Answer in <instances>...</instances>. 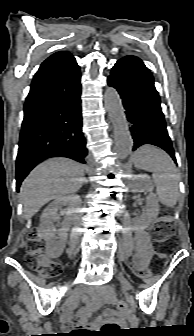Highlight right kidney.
<instances>
[{
  "mask_svg": "<svg viewBox=\"0 0 194 336\" xmlns=\"http://www.w3.org/2000/svg\"><path fill=\"white\" fill-rule=\"evenodd\" d=\"M80 204V196L68 195L55 199L44 209L37 231L38 235L45 240L46 250L52 257H59L62 254L67 240V231ZM58 211L64 215L62 227L59 230L53 224L60 218Z\"/></svg>",
  "mask_w": 194,
  "mask_h": 336,
  "instance_id": "right-kidney-1",
  "label": "right kidney"
}]
</instances>
